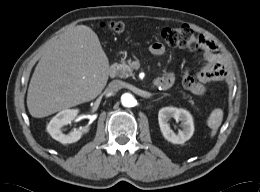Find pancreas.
Segmentation results:
<instances>
[{"label": "pancreas", "mask_w": 260, "mask_h": 192, "mask_svg": "<svg viewBox=\"0 0 260 192\" xmlns=\"http://www.w3.org/2000/svg\"><path fill=\"white\" fill-rule=\"evenodd\" d=\"M131 60H129L128 62L126 61H122L119 64L115 65L116 68V75L119 78H127L129 76H133V70L131 68ZM191 103V105L194 104V102L192 100L189 101Z\"/></svg>", "instance_id": "cf45deb5"}]
</instances>
